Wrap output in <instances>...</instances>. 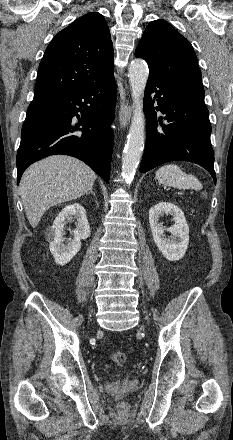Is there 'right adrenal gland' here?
<instances>
[{
  "label": "right adrenal gland",
  "instance_id": "obj_1",
  "mask_svg": "<svg viewBox=\"0 0 233 440\" xmlns=\"http://www.w3.org/2000/svg\"><path fill=\"white\" fill-rule=\"evenodd\" d=\"M90 193L95 196V193L93 192V188L87 192V194H90Z\"/></svg>",
  "mask_w": 233,
  "mask_h": 440
}]
</instances>
